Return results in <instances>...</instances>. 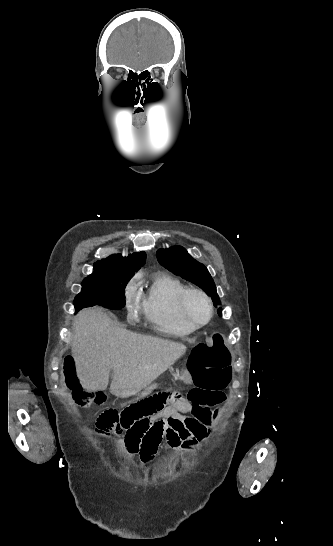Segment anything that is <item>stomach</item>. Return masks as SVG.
I'll use <instances>...</instances> for the list:
<instances>
[{
  "label": "stomach",
  "instance_id": "0dacf381",
  "mask_svg": "<svg viewBox=\"0 0 333 546\" xmlns=\"http://www.w3.org/2000/svg\"><path fill=\"white\" fill-rule=\"evenodd\" d=\"M179 372H180L179 370H176V373L174 374L175 379H178V378H181V377H182V376H180V375L178 374Z\"/></svg>",
  "mask_w": 333,
  "mask_h": 546
}]
</instances>
